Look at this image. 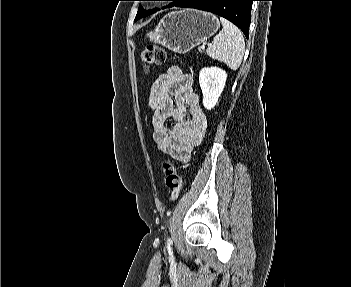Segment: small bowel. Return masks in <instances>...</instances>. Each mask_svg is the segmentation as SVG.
I'll return each instance as SVG.
<instances>
[{"label":"small bowel","instance_id":"small-bowel-1","mask_svg":"<svg viewBox=\"0 0 351 287\" xmlns=\"http://www.w3.org/2000/svg\"><path fill=\"white\" fill-rule=\"evenodd\" d=\"M148 106L152 112L153 140L163 153L187 162L207 129V118L193 91L192 78L172 66L151 87ZM174 120L169 127L167 121Z\"/></svg>","mask_w":351,"mask_h":287}]
</instances>
